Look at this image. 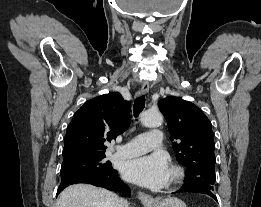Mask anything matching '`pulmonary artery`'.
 <instances>
[{"mask_svg":"<svg viewBox=\"0 0 261 207\" xmlns=\"http://www.w3.org/2000/svg\"><path fill=\"white\" fill-rule=\"evenodd\" d=\"M162 144V132L152 130L140 134L125 145L117 147V158H131L142 155L150 150L160 148Z\"/></svg>","mask_w":261,"mask_h":207,"instance_id":"obj_1","label":"pulmonary artery"}]
</instances>
